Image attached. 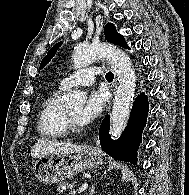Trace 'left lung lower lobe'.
<instances>
[{
  "mask_svg": "<svg viewBox=\"0 0 189 195\" xmlns=\"http://www.w3.org/2000/svg\"><path fill=\"white\" fill-rule=\"evenodd\" d=\"M148 110V97L145 93H141L133 103L128 124L118 140L110 138L109 116L107 115L99 131L102 149L115 159L136 164L137 150L146 124Z\"/></svg>",
  "mask_w": 189,
  "mask_h": 195,
  "instance_id": "1",
  "label": "left lung lower lobe"
}]
</instances>
